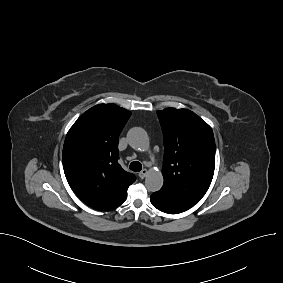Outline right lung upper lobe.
Masks as SVG:
<instances>
[{"mask_svg": "<svg viewBox=\"0 0 283 283\" xmlns=\"http://www.w3.org/2000/svg\"><path fill=\"white\" fill-rule=\"evenodd\" d=\"M131 112L99 104L83 113L67 133L63 168L76 195L87 205L108 211L127 198L136 177L118 163V138Z\"/></svg>", "mask_w": 283, "mask_h": 283, "instance_id": "obj_1", "label": "right lung upper lobe"}]
</instances>
